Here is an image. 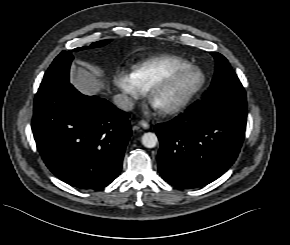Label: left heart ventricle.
<instances>
[{
	"mask_svg": "<svg viewBox=\"0 0 290 245\" xmlns=\"http://www.w3.org/2000/svg\"><path fill=\"white\" fill-rule=\"evenodd\" d=\"M198 76L195 73H186L171 84L163 88L155 97L154 103L164 109L182 99L196 84Z\"/></svg>",
	"mask_w": 290,
	"mask_h": 245,
	"instance_id": "b2bd125f",
	"label": "left heart ventricle"
}]
</instances>
